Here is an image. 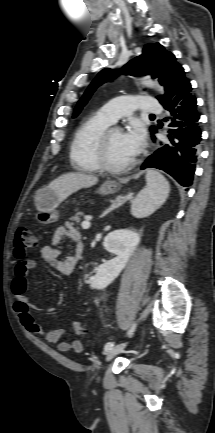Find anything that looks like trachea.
<instances>
[{
	"label": "trachea",
	"mask_w": 215,
	"mask_h": 433,
	"mask_svg": "<svg viewBox=\"0 0 215 433\" xmlns=\"http://www.w3.org/2000/svg\"><path fill=\"white\" fill-rule=\"evenodd\" d=\"M150 116H151V117H154V115H153V114H151Z\"/></svg>",
	"instance_id": "3493384b"
}]
</instances>
